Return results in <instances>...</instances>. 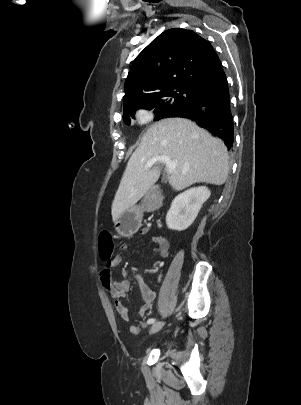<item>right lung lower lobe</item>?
I'll return each mask as SVG.
<instances>
[{"label":"right lung lower lobe","instance_id":"1","mask_svg":"<svg viewBox=\"0 0 301 405\" xmlns=\"http://www.w3.org/2000/svg\"><path fill=\"white\" fill-rule=\"evenodd\" d=\"M167 117L189 118L221 138L228 149L233 147L234 121L226 77L202 91L193 102L173 111Z\"/></svg>","mask_w":301,"mask_h":405}]
</instances>
